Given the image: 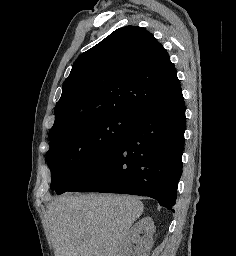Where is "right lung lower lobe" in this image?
I'll list each match as a JSON object with an SVG mask.
<instances>
[{
  "label": "right lung lower lobe",
  "mask_w": 236,
  "mask_h": 256,
  "mask_svg": "<svg viewBox=\"0 0 236 256\" xmlns=\"http://www.w3.org/2000/svg\"><path fill=\"white\" fill-rule=\"evenodd\" d=\"M185 127L180 89L143 112L119 145L67 191L143 195L174 212Z\"/></svg>",
  "instance_id": "98d812e1"
}]
</instances>
